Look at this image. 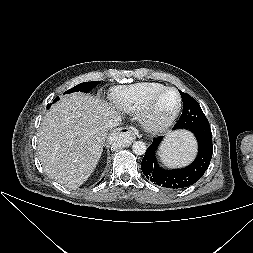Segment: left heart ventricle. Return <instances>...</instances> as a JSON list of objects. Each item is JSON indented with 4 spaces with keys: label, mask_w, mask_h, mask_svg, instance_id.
Returning <instances> with one entry per match:
<instances>
[{
    "label": "left heart ventricle",
    "mask_w": 253,
    "mask_h": 253,
    "mask_svg": "<svg viewBox=\"0 0 253 253\" xmlns=\"http://www.w3.org/2000/svg\"><path fill=\"white\" fill-rule=\"evenodd\" d=\"M178 103L177 94L174 91L165 92L158 100L154 117L156 120H163L167 118L176 108Z\"/></svg>",
    "instance_id": "left-heart-ventricle-1"
}]
</instances>
